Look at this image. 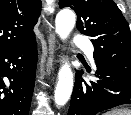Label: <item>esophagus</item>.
<instances>
[{
  "mask_svg": "<svg viewBox=\"0 0 131 115\" xmlns=\"http://www.w3.org/2000/svg\"><path fill=\"white\" fill-rule=\"evenodd\" d=\"M47 33L49 44V57L46 63V72L47 74H50L53 71V53L56 47V38L50 26L48 27Z\"/></svg>",
  "mask_w": 131,
  "mask_h": 115,
  "instance_id": "esophagus-1",
  "label": "esophagus"
}]
</instances>
